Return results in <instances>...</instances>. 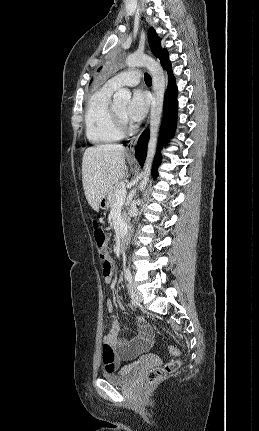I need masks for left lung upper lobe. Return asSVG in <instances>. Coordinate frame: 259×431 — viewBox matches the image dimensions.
<instances>
[{"label": "left lung upper lobe", "mask_w": 259, "mask_h": 431, "mask_svg": "<svg viewBox=\"0 0 259 431\" xmlns=\"http://www.w3.org/2000/svg\"><path fill=\"white\" fill-rule=\"evenodd\" d=\"M148 38H149V45L151 48L152 53L156 57H160L165 49L161 48V41L158 35L156 34L155 30L153 28H150L148 31Z\"/></svg>", "instance_id": "5c2ea615"}]
</instances>
